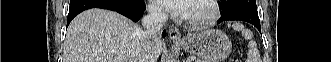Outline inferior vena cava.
Wrapping results in <instances>:
<instances>
[{
	"instance_id": "1",
	"label": "inferior vena cava",
	"mask_w": 331,
	"mask_h": 62,
	"mask_svg": "<svg viewBox=\"0 0 331 62\" xmlns=\"http://www.w3.org/2000/svg\"><path fill=\"white\" fill-rule=\"evenodd\" d=\"M166 18L162 9L152 5L148 7V14L142 18V26L145 30L141 33L138 62L153 61L152 46L160 40L159 34Z\"/></svg>"
}]
</instances>
